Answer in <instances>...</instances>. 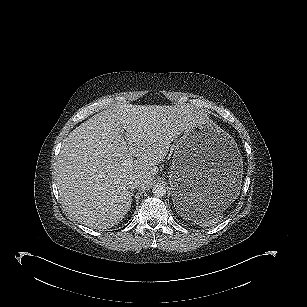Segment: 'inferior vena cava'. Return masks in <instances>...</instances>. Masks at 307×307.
<instances>
[{
    "instance_id": "1",
    "label": "inferior vena cava",
    "mask_w": 307,
    "mask_h": 307,
    "mask_svg": "<svg viewBox=\"0 0 307 307\" xmlns=\"http://www.w3.org/2000/svg\"><path fill=\"white\" fill-rule=\"evenodd\" d=\"M142 181L139 179H132L128 182V188L133 190L141 187Z\"/></svg>"
}]
</instances>
